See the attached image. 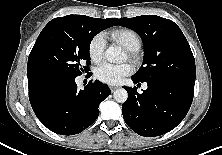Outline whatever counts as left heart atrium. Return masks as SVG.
<instances>
[{
	"mask_svg": "<svg viewBox=\"0 0 222 155\" xmlns=\"http://www.w3.org/2000/svg\"><path fill=\"white\" fill-rule=\"evenodd\" d=\"M132 72L130 64H112L104 62L96 69V77L103 83L114 85Z\"/></svg>",
	"mask_w": 222,
	"mask_h": 155,
	"instance_id": "obj_1",
	"label": "left heart atrium"
}]
</instances>
